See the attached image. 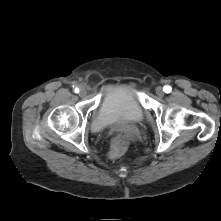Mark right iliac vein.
Wrapping results in <instances>:
<instances>
[{
	"instance_id": "63e3f726",
	"label": "right iliac vein",
	"mask_w": 221,
	"mask_h": 221,
	"mask_svg": "<svg viewBox=\"0 0 221 221\" xmlns=\"http://www.w3.org/2000/svg\"><path fill=\"white\" fill-rule=\"evenodd\" d=\"M80 97H85L87 95L86 89L82 88L79 92Z\"/></svg>"
}]
</instances>
